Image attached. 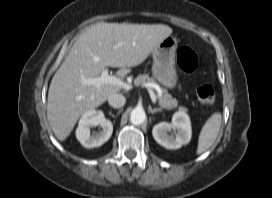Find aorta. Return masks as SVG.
Masks as SVG:
<instances>
[{"instance_id":"obj_1","label":"aorta","mask_w":272,"mask_h":198,"mask_svg":"<svg viewBox=\"0 0 272 198\" xmlns=\"http://www.w3.org/2000/svg\"><path fill=\"white\" fill-rule=\"evenodd\" d=\"M146 119L145 111L141 108H135L131 111L130 121L133 125H140Z\"/></svg>"}]
</instances>
